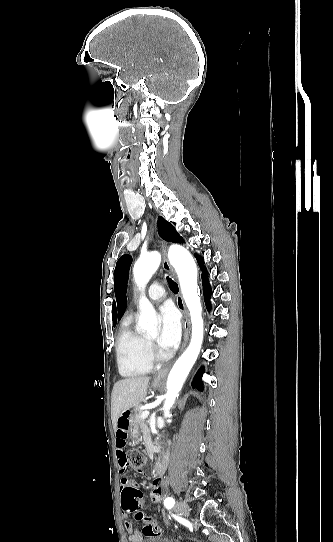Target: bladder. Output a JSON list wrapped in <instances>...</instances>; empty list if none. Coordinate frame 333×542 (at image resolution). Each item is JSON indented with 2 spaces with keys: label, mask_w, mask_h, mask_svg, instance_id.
Instances as JSON below:
<instances>
[{
  "label": "bladder",
  "mask_w": 333,
  "mask_h": 542,
  "mask_svg": "<svg viewBox=\"0 0 333 542\" xmlns=\"http://www.w3.org/2000/svg\"><path fill=\"white\" fill-rule=\"evenodd\" d=\"M142 542H180V541H174L172 539H169L167 537H153V536H147L143 539Z\"/></svg>",
  "instance_id": "bladder-1"
}]
</instances>
